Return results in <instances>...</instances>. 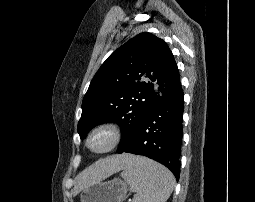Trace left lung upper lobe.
<instances>
[{"label":"left lung upper lobe","mask_w":255,"mask_h":202,"mask_svg":"<svg viewBox=\"0 0 255 202\" xmlns=\"http://www.w3.org/2000/svg\"><path fill=\"white\" fill-rule=\"evenodd\" d=\"M181 86L177 64L168 45L143 32L116 49L93 77L82 102L80 138L96 125L122 127L121 151L150 110Z\"/></svg>","instance_id":"obj_1"}]
</instances>
